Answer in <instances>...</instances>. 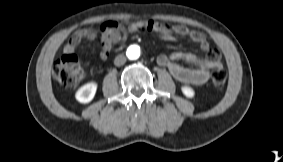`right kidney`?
I'll return each instance as SVG.
<instances>
[{"mask_svg": "<svg viewBox=\"0 0 283 162\" xmlns=\"http://www.w3.org/2000/svg\"><path fill=\"white\" fill-rule=\"evenodd\" d=\"M96 90L97 84L95 82H89L78 89L75 97L80 103H89L94 98Z\"/></svg>", "mask_w": 283, "mask_h": 162, "instance_id": "right-kidney-1", "label": "right kidney"}]
</instances>
